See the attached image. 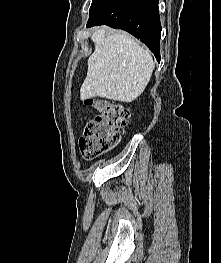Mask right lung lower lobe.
I'll return each mask as SVG.
<instances>
[{"label": "right lung lower lobe", "mask_w": 221, "mask_h": 263, "mask_svg": "<svg viewBox=\"0 0 221 263\" xmlns=\"http://www.w3.org/2000/svg\"><path fill=\"white\" fill-rule=\"evenodd\" d=\"M158 3L159 0H111L88 20L87 27L105 24L123 29L140 39L160 61L161 23Z\"/></svg>", "instance_id": "98d812e1"}]
</instances>
